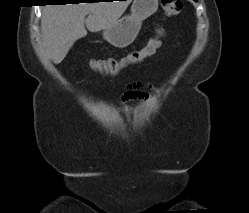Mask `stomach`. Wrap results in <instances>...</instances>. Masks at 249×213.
Wrapping results in <instances>:
<instances>
[{
	"label": "stomach",
	"mask_w": 249,
	"mask_h": 213,
	"mask_svg": "<svg viewBox=\"0 0 249 213\" xmlns=\"http://www.w3.org/2000/svg\"><path fill=\"white\" fill-rule=\"evenodd\" d=\"M158 9V0H134L131 14L116 21L103 31L104 39L111 45L124 48L138 35L142 22Z\"/></svg>",
	"instance_id": "1"
}]
</instances>
